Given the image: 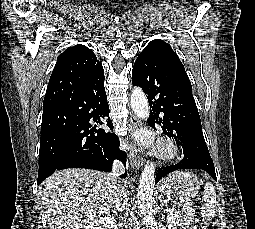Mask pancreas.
Returning <instances> with one entry per match:
<instances>
[{
    "label": "pancreas",
    "instance_id": "cf45deb5",
    "mask_svg": "<svg viewBox=\"0 0 255 229\" xmlns=\"http://www.w3.org/2000/svg\"><path fill=\"white\" fill-rule=\"evenodd\" d=\"M195 212L193 210L177 212L167 216L168 229H185L190 223L194 222Z\"/></svg>",
    "mask_w": 255,
    "mask_h": 229
}]
</instances>
